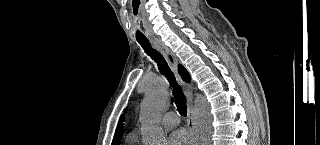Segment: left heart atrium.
I'll list each match as a JSON object with an SVG mask.
<instances>
[{"label":"left heart atrium","instance_id":"left-heart-atrium-1","mask_svg":"<svg viewBox=\"0 0 320 145\" xmlns=\"http://www.w3.org/2000/svg\"><path fill=\"white\" fill-rule=\"evenodd\" d=\"M191 139L184 130H178L172 133L168 139V145H190Z\"/></svg>","mask_w":320,"mask_h":145}]
</instances>
